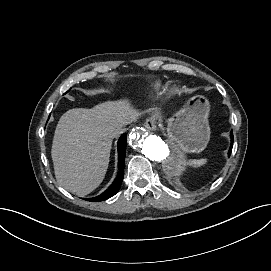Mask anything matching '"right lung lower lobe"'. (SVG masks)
Masks as SVG:
<instances>
[{
    "label": "right lung lower lobe",
    "instance_id": "right-lung-lower-lobe-1",
    "mask_svg": "<svg viewBox=\"0 0 271 271\" xmlns=\"http://www.w3.org/2000/svg\"><path fill=\"white\" fill-rule=\"evenodd\" d=\"M126 143H127V136L126 134H122L118 141V166L119 171L117 174L116 179L113 181L111 186L104 191L102 194L94 197L88 198L87 201L97 202V201H104L109 199L110 197L114 196L120 189L122 180L124 177V162H125V153H126Z\"/></svg>",
    "mask_w": 271,
    "mask_h": 271
}]
</instances>
